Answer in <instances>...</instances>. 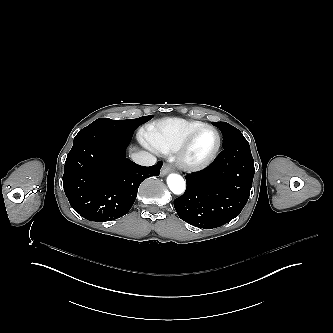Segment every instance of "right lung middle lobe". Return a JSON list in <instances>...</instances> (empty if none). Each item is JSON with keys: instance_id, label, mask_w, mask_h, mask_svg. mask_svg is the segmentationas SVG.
Returning <instances> with one entry per match:
<instances>
[{"instance_id": "obj_1", "label": "right lung middle lobe", "mask_w": 333, "mask_h": 333, "mask_svg": "<svg viewBox=\"0 0 333 333\" xmlns=\"http://www.w3.org/2000/svg\"><path fill=\"white\" fill-rule=\"evenodd\" d=\"M153 116H143L136 119L112 120L108 118H99L87 127H101L122 133L133 135V132L143 123L149 121Z\"/></svg>"}]
</instances>
